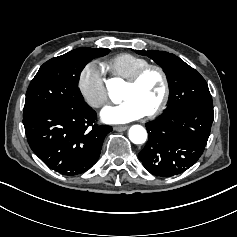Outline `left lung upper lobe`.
<instances>
[{
  "instance_id": "left-lung-upper-lobe-1",
  "label": "left lung upper lobe",
  "mask_w": 237,
  "mask_h": 237,
  "mask_svg": "<svg viewBox=\"0 0 237 237\" xmlns=\"http://www.w3.org/2000/svg\"><path fill=\"white\" fill-rule=\"evenodd\" d=\"M160 65L170 83V100L165 111L155 120L146 123L149 140L140 151L143 165L160 164L156 176L178 175L185 167L174 165L177 160H198L202 155L211 128L201 120H184L174 123L166 116L177 110L213 108L207 82L194 68L179 57L165 51L135 50Z\"/></svg>"
}]
</instances>
